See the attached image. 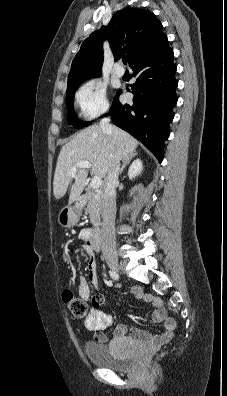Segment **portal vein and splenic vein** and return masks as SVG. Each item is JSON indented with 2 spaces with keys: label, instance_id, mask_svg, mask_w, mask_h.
Returning a JSON list of instances; mask_svg holds the SVG:
<instances>
[{
  "label": "portal vein and splenic vein",
  "instance_id": "obj_1",
  "mask_svg": "<svg viewBox=\"0 0 227 396\" xmlns=\"http://www.w3.org/2000/svg\"><path fill=\"white\" fill-rule=\"evenodd\" d=\"M91 163L90 162H88V161H80V162H78L73 168H72V170H71V175H74V173L76 172V169L77 168H86V169H88V168H91ZM101 184H102V180H101V177H99V176H94L93 178H92V180H91V183H90V187L92 188V189H99V187L101 186Z\"/></svg>",
  "mask_w": 227,
  "mask_h": 396
}]
</instances>
